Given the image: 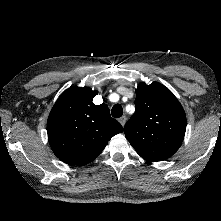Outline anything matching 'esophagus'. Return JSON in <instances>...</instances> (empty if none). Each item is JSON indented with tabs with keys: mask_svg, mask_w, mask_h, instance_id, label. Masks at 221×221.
<instances>
[{
	"mask_svg": "<svg viewBox=\"0 0 221 221\" xmlns=\"http://www.w3.org/2000/svg\"><path fill=\"white\" fill-rule=\"evenodd\" d=\"M126 120H127L126 116H122L121 118H119V122H120V124H121L122 126L125 125Z\"/></svg>",
	"mask_w": 221,
	"mask_h": 221,
	"instance_id": "obj_1",
	"label": "esophagus"
}]
</instances>
